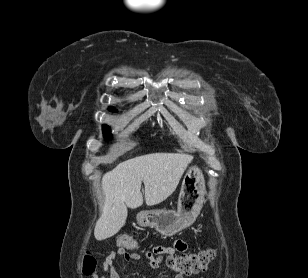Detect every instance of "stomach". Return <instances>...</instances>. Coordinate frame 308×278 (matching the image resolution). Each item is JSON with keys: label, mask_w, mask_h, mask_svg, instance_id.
Instances as JSON below:
<instances>
[{"label": "stomach", "mask_w": 308, "mask_h": 278, "mask_svg": "<svg viewBox=\"0 0 308 278\" xmlns=\"http://www.w3.org/2000/svg\"><path fill=\"white\" fill-rule=\"evenodd\" d=\"M206 194L202 171L192 166L184 175L177 203V211L147 210L137 214L141 226L152 227L163 236H172L194 223Z\"/></svg>", "instance_id": "obj_1"}]
</instances>
